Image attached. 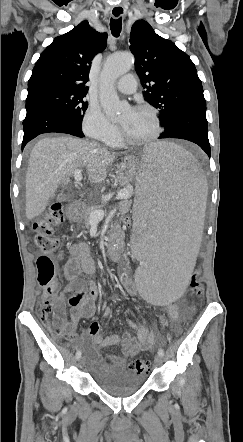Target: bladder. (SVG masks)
<instances>
[{
    "mask_svg": "<svg viewBox=\"0 0 243 442\" xmlns=\"http://www.w3.org/2000/svg\"><path fill=\"white\" fill-rule=\"evenodd\" d=\"M91 376L102 391L118 398L135 393L143 385V379L135 372L118 368L111 362H102L92 367Z\"/></svg>",
    "mask_w": 243,
    "mask_h": 442,
    "instance_id": "obj_1",
    "label": "bladder"
}]
</instances>
